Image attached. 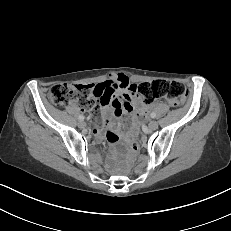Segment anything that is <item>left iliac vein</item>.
Listing matches in <instances>:
<instances>
[{
  "mask_svg": "<svg viewBox=\"0 0 231 231\" xmlns=\"http://www.w3.org/2000/svg\"><path fill=\"white\" fill-rule=\"evenodd\" d=\"M149 129L154 131L158 128V123L155 120L150 121L148 125Z\"/></svg>",
  "mask_w": 231,
  "mask_h": 231,
  "instance_id": "left-iliac-vein-1",
  "label": "left iliac vein"
}]
</instances>
